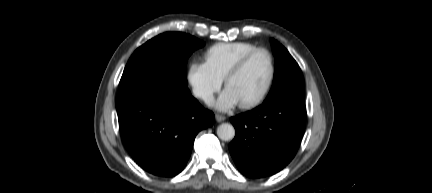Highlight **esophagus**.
Segmentation results:
<instances>
[{
  "mask_svg": "<svg viewBox=\"0 0 432 193\" xmlns=\"http://www.w3.org/2000/svg\"><path fill=\"white\" fill-rule=\"evenodd\" d=\"M215 118H216L217 122H222V121L226 120V117L223 115H220V114H216Z\"/></svg>",
  "mask_w": 432,
  "mask_h": 193,
  "instance_id": "1",
  "label": "esophagus"
}]
</instances>
